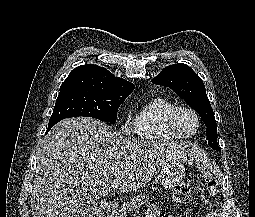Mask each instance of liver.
<instances>
[{
	"label": "liver",
	"mask_w": 255,
	"mask_h": 217,
	"mask_svg": "<svg viewBox=\"0 0 255 217\" xmlns=\"http://www.w3.org/2000/svg\"><path fill=\"white\" fill-rule=\"evenodd\" d=\"M202 158L193 145L136 140L98 120L78 117L56 124L38 153L31 196L33 217H74L83 197L146 186L172 159ZM117 175L112 176V171ZM83 196V197H81Z\"/></svg>",
	"instance_id": "liver-1"
}]
</instances>
